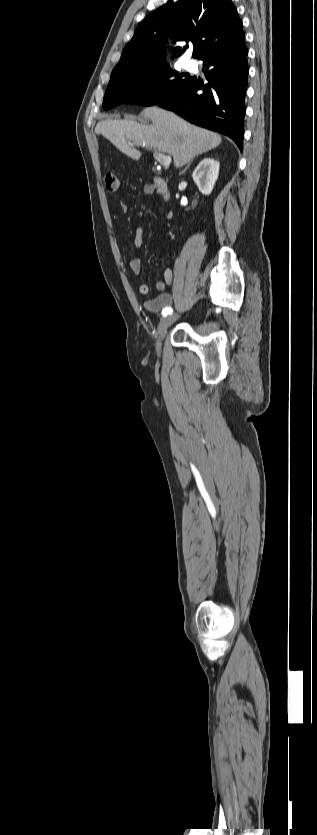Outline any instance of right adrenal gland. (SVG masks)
<instances>
[{
    "mask_svg": "<svg viewBox=\"0 0 317 835\" xmlns=\"http://www.w3.org/2000/svg\"><path fill=\"white\" fill-rule=\"evenodd\" d=\"M192 161H193V160H191V161L188 163L187 167H186V168H185L182 172H180V175H181V174H183L184 172H186V170L189 168V166H190V164H191V162H192Z\"/></svg>",
    "mask_w": 317,
    "mask_h": 835,
    "instance_id": "right-adrenal-gland-1",
    "label": "right adrenal gland"
}]
</instances>
